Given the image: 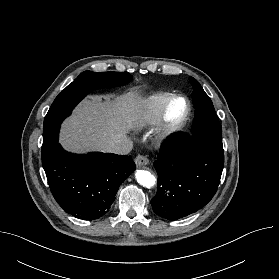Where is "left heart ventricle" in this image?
I'll list each match as a JSON object with an SVG mask.
<instances>
[{"instance_id":"b2bd125f","label":"left heart ventricle","mask_w":279,"mask_h":279,"mask_svg":"<svg viewBox=\"0 0 279 279\" xmlns=\"http://www.w3.org/2000/svg\"><path fill=\"white\" fill-rule=\"evenodd\" d=\"M186 110V104L182 99L175 100L169 107L167 119L169 122H177L180 120Z\"/></svg>"}]
</instances>
